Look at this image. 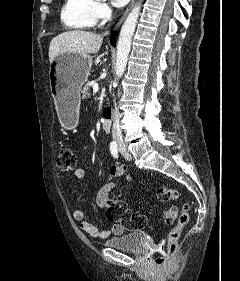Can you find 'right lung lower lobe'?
<instances>
[{
  "mask_svg": "<svg viewBox=\"0 0 240 281\" xmlns=\"http://www.w3.org/2000/svg\"><path fill=\"white\" fill-rule=\"evenodd\" d=\"M115 37H116V33L113 31L112 34H111V44L113 46H115Z\"/></svg>",
  "mask_w": 240,
  "mask_h": 281,
  "instance_id": "1",
  "label": "right lung lower lobe"
}]
</instances>
